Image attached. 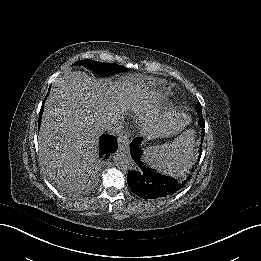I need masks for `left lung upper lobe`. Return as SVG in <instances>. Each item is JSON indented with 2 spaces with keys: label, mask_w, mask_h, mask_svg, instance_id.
<instances>
[{
  "label": "left lung upper lobe",
  "mask_w": 261,
  "mask_h": 261,
  "mask_svg": "<svg viewBox=\"0 0 261 261\" xmlns=\"http://www.w3.org/2000/svg\"><path fill=\"white\" fill-rule=\"evenodd\" d=\"M196 108H197V111H198L199 115L202 116V107H201V104L198 103ZM200 124H201V125L204 124V123H203V118H202V117H200Z\"/></svg>",
  "instance_id": "left-lung-upper-lobe-1"
}]
</instances>
